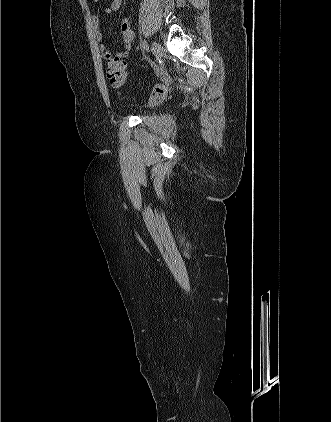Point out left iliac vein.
I'll list each match as a JSON object with an SVG mask.
<instances>
[{
	"label": "left iliac vein",
	"instance_id": "4c4485c4",
	"mask_svg": "<svg viewBox=\"0 0 331 422\" xmlns=\"http://www.w3.org/2000/svg\"><path fill=\"white\" fill-rule=\"evenodd\" d=\"M152 49H153V53L155 58L158 60L162 57L163 54V50H162V46L160 43L158 42H153L152 43Z\"/></svg>",
	"mask_w": 331,
	"mask_h": 422
}]
</instances>
